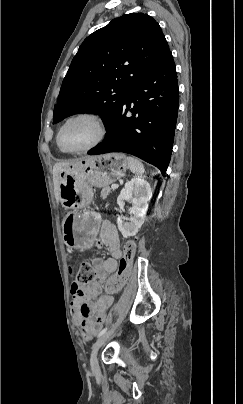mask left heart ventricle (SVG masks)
<instances>
[{"label": "left heart ventricle", "instance_id": "b2bd125f", "mask_svg": "<svg viewBox=\"0 0 243 404\" xmlns=\"http://www.w3.org/2000/svg\"><path fill=\"white\" fill-rule=\"evenodd\" d=\"M99 135L95 120L78 117L69 121L61 133V144L67 149H82L91 145Z\"/></svg>", "mask_w": 243, "mask_h": 404}]
</instances>
